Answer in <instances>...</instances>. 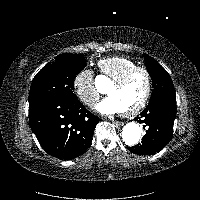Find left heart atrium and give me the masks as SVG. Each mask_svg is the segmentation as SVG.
I'll use <instances>...</instances> for the list:
<instances>
[{"instance_id":"obj_1","label":"left heart atrium","mask_w":200,"mask_h":200,"mask_svg":"<svg viewBox=\"0 0 200 200\" xmlns=\"http://www.w3.org/2000/svg\"><path fill=\"white\" fill-rule=\"evenodd\" d=\"M96 111L104 115L118 114L122 112L119 104L113 96H108L101 100L95 107Z\"/></svg>"}]
</instances>
